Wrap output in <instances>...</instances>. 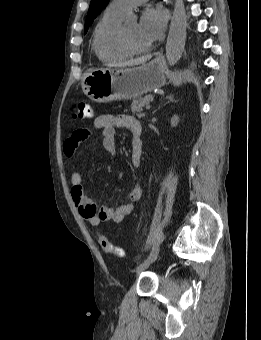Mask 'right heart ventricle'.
Segmentation results:
<instances>
[{
	"label": "right heart ventricle",
	"mask_w": 261,
	"mask_h": 340,
	"mask_svg": "<svg viewBox=\"0 0 261 340\" xmlns=\"http://www.w3.org/2000/svg\"><path fill=\"white\" fill-rule=\"evenodd\" d=\"M123 15L124 13L108 6L95 27L92 49L101 62H117L129 56L119 44Z\"/></svg>",
	"instance_id": "obj_1"
}]
</instances>
